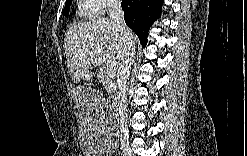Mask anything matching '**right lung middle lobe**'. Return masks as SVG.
Segmentation results:
<instances>
[{
    "label": "right lung middle lobe",
    "instance_id": "right-lung-middle-lobe-1",
    "mask_svg": "<svg viewBox=\"0 0 247 156\" xmlns=\"http://www.w3.org/2000/svg\"><path fill=\"white\" fill-rule=\"evenodd\" d=\"M70 4H71V0L65 3V9L63 12L64 15H68Z\"/></svg>",
    "mask_w": 247,
    "mask_h": 156
}]
</instances>
